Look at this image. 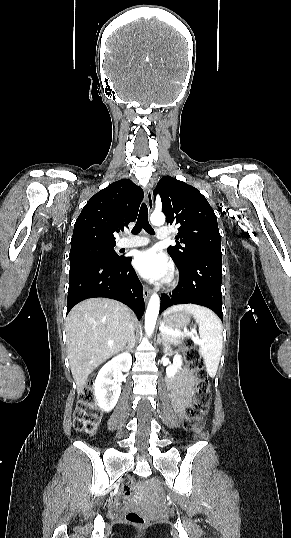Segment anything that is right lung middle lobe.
<instances>
[{
    "instance_id": "dd1d6c3e",
    "label": "right lung middle lobe",
    "mask_w": 291,
    "mask_h": 538,
    "mask_svg": "<svg viewBox=\"0 0 291 538\" xmlns=\"http://www.w3.org/2000/svg\"><path fill=\"white\" fill-rule=\"evenodd\" d=\"M114 247L115 245H90L71 249L69 254L70 264L91 260H121L122 257L114 251Z\"/></svg>"
}]
</instances>
